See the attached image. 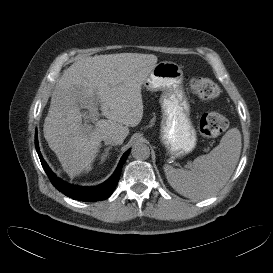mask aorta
<instances>
[{
    "instance_id": "obj_1",
    "label": "aorta",
    "mask_w": 273,
    "mask_h": 273,
    "mask_svg": "<svg viewBox=\"0 0 273 273\" xmlns=\"http://www.w3.org/2000/svg\"><path fill=\"white\" fill-rule=\"evenodd\" d=\"M133 158L146 160L150 156V148L144 143H136L131 150Z\"/></svg>"
}]
</instances>
